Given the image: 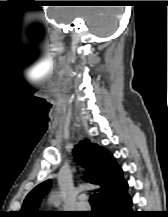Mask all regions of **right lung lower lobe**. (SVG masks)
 Wrapping results in <instances>:
<instances>
[{"label":"right lung lower lobe","instance_id":"98d812e1","mask_svg":"<svg viewBox=\"0 0 168 217\" xmlns=\"http://www.w3.org/2000/svg\"><path fill=\"white\" fill-rule=\"evenodd\" d=\"M128 186L112 196L110 199L100 203L99 217H138L132 211V198L127 194Z\"/></svg>","mask_w":168,"mask_h":217}]
</instances>
